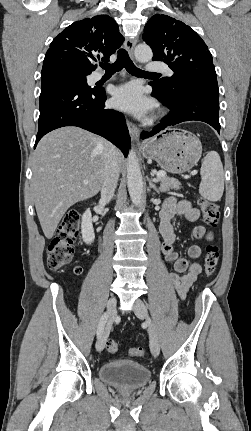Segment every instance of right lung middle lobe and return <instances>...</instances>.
<instances>
[{"instance_id":"obj_1","label":"right lung middle lobe","mask_w":251,"mask_h":431,"mask_svg":"<svg viewBox=\"0 0 251 431\" xmlns=\"http://www.w3.org/2000/svg\"><path fill=\"white\" fill-rule=\"evenodd\" d=\"M91 71L85 70L73 63L67 61H55L49 64L47 67L42 69L41 77L49 75H64L70 77L77 81L79 84L90 88L87 85L86 76L89 75Z\"/></svg>"}]
</instances>
